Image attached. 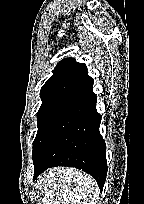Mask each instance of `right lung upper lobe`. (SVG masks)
<instances>
[{"mask_svg": "<svg viewBox=\"0 0 144 204\" xmlns=\"http://www.w3.org/2000/svg\"><path fill=\"white\" fill-rule=\"evenodd\" d=\"M93 79L88 75L87 67L73 58H65L58 63L53 75L40 91L43 102L57 97L77 98L92 90Z\"/></svg>", "mask_w": 144, "mask_h": 204, "instance_id": "1", "label": "right lung upper lobe"}]
</instances>
